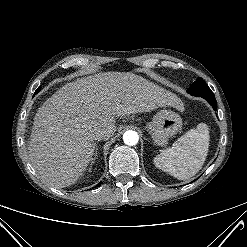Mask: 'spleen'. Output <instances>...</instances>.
<instances>
[{"label": "spleen", "instance_id": "spleen-1", "mask_svg": "<svg viewBox=\"0 0 247 247\" xmlns=\"http://www.w3.org/2000/svg\"><path fill=\"white\" fill-rule=\"evenodd\" d=\"M209 128L197 125L154 158L155 166L179 180L189 179L199 172L209 148Z\"/></svg>", "mask_w": 247, "mask_h": 247}]
</instances>
